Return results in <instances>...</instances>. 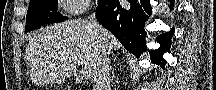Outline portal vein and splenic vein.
I'll return each instance as SVG.
<instances>
[{"label": "portal vein and splenic vein", "mask_w": 216, "mask_h": 90, "mask_svg": "<svg viewBox=\"0 0 216 90\" xmlns=\"http://www.w3.org/2000/svg\"><path fill=\"white\" fill-rule=\"evenodd\" d=\"M77 64H78V66H81V62H80V60H78ZM84 78H88V74H87V72H84V74H83V78H81V80H84Z\"/></svg>", "instance_id": "portal-vein-and-splenic-vein-1"}]
</instances>
